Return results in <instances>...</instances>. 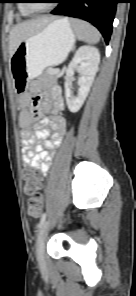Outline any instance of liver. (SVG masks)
<instances>
[{"instance_id": "1", "label": "liver", "mask_w": 136, "mask_h": 296, "mask_svg": "<svg viewBox=\"0 0 136 296\" xmlns=\"http://www.w3.org/2000/svg\"><path fill=\"white\" fill-rule=\"evenodd\" d=\"M53 19L54 17L43 16L36 19L27 20L16 25L11 30L9 35L10 56L14 54L17 47L22 41L26 40L35 33L41 31Z\"/></svg>"}]
</instances>
